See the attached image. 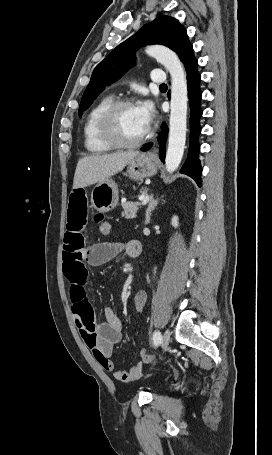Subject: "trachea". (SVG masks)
Masks as SVG:
<instances>
[{
    "label": "trachea",
    "mask_w": 272,
    "mask_h": 455,
    "mask_svg": "<svg viewBox=\"0 0 272 455\" xmlns=\"http://www.w3.org/2000/svg\"><path fill=\"white\" fill-rule=\"evenodd\" d=\"M160 87L161 88H165V87H167V85L166 84H161Z\"/></svg>",
    "instance_id": "1"
}]
</instances>
